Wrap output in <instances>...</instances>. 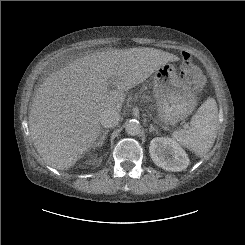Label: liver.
Instances as JSON below:
<instances>
[{
  "label": "liver",
  "instance_id": "liver-1",
  "mask_svg": "<svg viewBox=\"0 0 245 245\" xmlns=\"http://www.w3.org/2000/svg\"><path fill=\"white\" fill-rule=\"evenodd\" d=\"M178 60L148 47L111 49L78 58L50 74L36 90L29 113L39 155L56 169L72 167L95 145L102 112L121 111L127 91Z\"/></svg>",
  "mask_w": 245,
  "mask_h": 245
}]
</instances>
